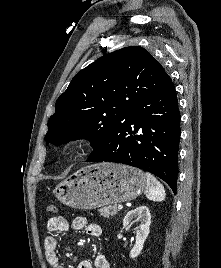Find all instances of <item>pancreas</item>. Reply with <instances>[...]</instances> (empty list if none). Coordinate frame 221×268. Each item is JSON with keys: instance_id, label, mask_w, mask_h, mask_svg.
<instances>
[{"instance_id": "obj_1", "label": "pancreas", "mask_w": 221, "mask_h": 268, "mask_svg": "<svg viewBox=\"0 0 221 268\" xmlns=\"http://www.w3.org/2000/svg\"><path fill=\"white\" fill-rule=\"evenodd\" d=\"M119 209L117 208V205L113 206H106L99 210L100 215H102L105 218H109L111 216H114L118 213Z\"/></svg>"}]
</instances>
